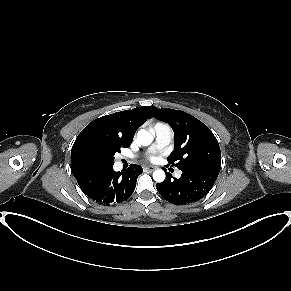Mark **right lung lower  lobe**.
<instances>
[{
    "label": "right lung lower lobe",
    "instance_id": "obj_1",
    "mask_svg": "<svg viewBox=\"0 0 291 291\" xmlns=\"http://www.w3.org/2000/svg\"><path fill=\"white\" fill-rule=\"evenodd\" d=\"M143 172L140 165H130L128 171L115 172L113 167L91 170L79 177L81 190L93 201L110 206L122 203L133 193L137 177Z\"/></svg>",
    "mask_w": 291,
    "mask_h": 291
}]
</instances>
